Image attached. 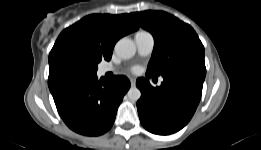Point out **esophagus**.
Returning a JSON list of instances; mask_svg holds the SVG:
<instances>
[{
    "mask_svg": "<svg viewBox=\"0 0 261 150\" xmlns=\"http://www.w3.org/2000/svg\"><path fill=\"white\" fill-rule=\"evenodd\" d=\"M131 86L134 87L136 85L135 78H130Z\"/></svg>",
    "mask_w": 261,
    "mask_h": 150,
    "instance_id": "esophagus-1",
    "label": "esophagus"
}]
</instances>
